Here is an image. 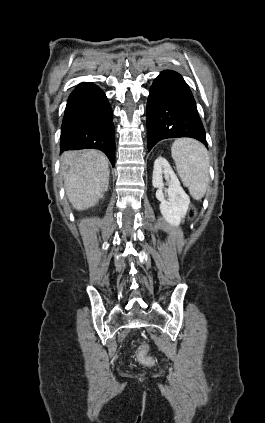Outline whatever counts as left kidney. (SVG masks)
Segmentation results:
<instances>
[{
  "label": "left kidney",
  "mask_w": 265,
  "mask_h": 423,
  "mask_svg": "<svg viewBox=\"0 0 265 423\" xmlns=\"http://www.w3.org/2000/svg\"><path fill=\"white\" fill-rule=\"evenodd\" d=\"M163 175L167 180V189H164ZM152 184L158 188L156 198L160 201V211L164 219L172 226H179L188 210L190 198L164 157H158L154 162Z\"/></svg>",
  "instance_id": "1"
}]
</instances>
